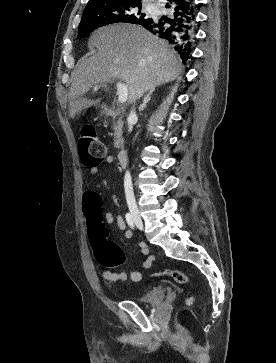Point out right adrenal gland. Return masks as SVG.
Here are the masks:
<instances>
[{
	"label": "right adrenal gland",
	"mask_w": 276,
	"mask_h": 363,
	"mask_svg": "<svg viewBox=\"0 0 276 363\" xmlns=\"http://www.w3.org/2000/svg\"><path fill=\"white\" fill-rule=\"evenodd\" d=\"M154 91H155L154 89L149 90L148 93L145 95V97L143 99V103L140 105V107L138 109L139 112H142L147 107V104L151 100V95L153 94Z\"/></svg>",
	"instance_id": "2a0ac1e0"
}]
</instances>
